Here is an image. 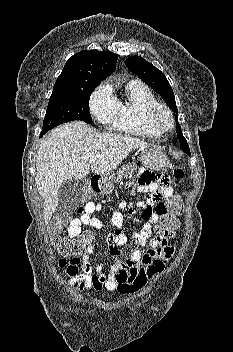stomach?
I'll list each match as a JSON object with an SVG mask.
<instances>
[{
	"label": "stomach",
	"mask_w": 233,
	"mask_h": 352,
	"mask_svg": "<svg viewBox=\"0 0 233 352\" xmlns=\"http://www.w3.org/2000/svg\"><path fill=\"white\" fill-rule=\"evenodd\" d=\"M142 164L153 170H162L168 167L169 160L167 156L155 148L144 150L140 155ZM116 177L114 173L104 175L100 181V189L103 193H110L114 188Z\"/></svg>",
	"instance_id": "obj_1"
}]
</instances>
